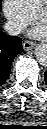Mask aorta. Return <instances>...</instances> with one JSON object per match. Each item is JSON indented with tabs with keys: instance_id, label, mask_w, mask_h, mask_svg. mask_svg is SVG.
I'll return each instance as SVG.
<instances>
[{
	"instance_id": "1",
	"label": "aorta",
	"mask_w": 47,
	"mask_h": 129,
	"mask_svg": "<svg viewBox=\"0 0 47 129\" xmlns=\"http://www.w3.org/2000/svg\"><path fill=\"white\" fill-rule=\"evenodd\" d=\"M34 55L36 60L41 65H46L47 63V45L45 43H40L35 47Z\"/></svg>"
}]
</instances>
